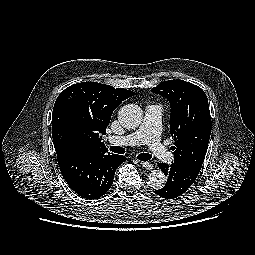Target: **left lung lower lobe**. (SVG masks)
Segmentation results:
<instances>
[{"mask_svg": "<svg viewBox=\"0 0 255 255\" xmlns=\"http://www.w3.org/2000/svg\"><path fill=\"white\" fill-rule=\"evenodd\" d=\"M158 166L168 179L166 185L155 192L165 199H174L184 194L198 176L193 169L181 163L174 162L170 166L159 163Z\"/></svg>", "mask_w": 255, "mask_h": 255, "instance_id": "left-lung-lower-lobe-1", "label": "left lung lower lobe"}]
</instances>
